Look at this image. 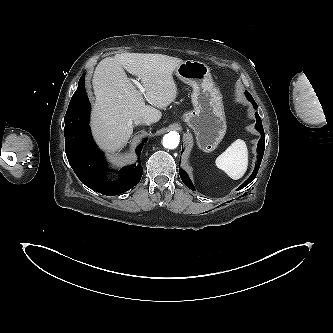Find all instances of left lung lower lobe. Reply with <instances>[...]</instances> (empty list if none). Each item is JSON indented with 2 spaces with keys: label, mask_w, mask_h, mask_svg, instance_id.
Returning a JSON list of instances; mask_svg holds the SVG:
<instances>
[{
  "label": "left lung lower lobe",
  "mask_w": 333,
  "mask_h": 333,
  "mask_svg": "<svg viewBox=\"0 0 333 333\" xmlns=\"http://www.w3.org/2000/svg\"><path fill=\"white\" fill-rule=\"evenodd\" d=\"M245 94L247 96V99L250 102H252L254 108H257V104L253 100L252 96L247 91L245 92ZM255 115H256V119H257L255 127L261 133V139L259 140L258 147H257V153H258L257 165L255 166L252 175L238 189H241V188L245 187L256 177L258 167L260 166L262 158H263L264 147H265V135H264V130H263V127H262V122H261L260 116L258 115V113H256ZM180 177H181L182 181L184 182V184L187 187H189L192 190H195L190 178L187 175V173L182 169H180Z\"/></svg>",
  "instance_id": "1"
}]
</instances>
